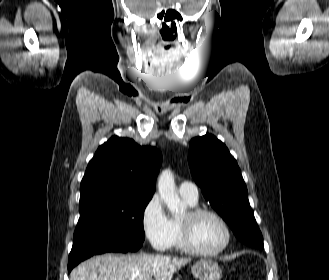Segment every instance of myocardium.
I'll return each instance as SVG.
<instances>
[{
    "label": "myocardium",
    "mask_w": 329,
    "mask_h": 280,
    "mask_svg": "<svg viewBox=\"0 0 329 280\" xmlns=\"http://www.w3.org/2000/svg\"><path fill=\"white\" fill-rule=\"evenodd\" d=\"M203 215H209L215 218L223 227L225 232V240L223 244L214 251H206L200 249L193 239V225L194 222ZM181 244L185 251L190 254L200 257H216L222 254L231 244L232 232L224 217L217 211L204 207H191L187 210L185 215L179 220Z\"/></svg>",
    "instance_id": "f54148a6"
}]
</instances>
